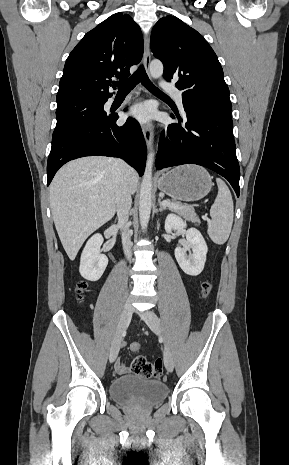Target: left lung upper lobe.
<instances>
[{
	"label": "left lung upper lobe",
	"mask_w": 289,
	"mask_h": 465,
	"mask_svg": "<svg viewBox=\"0 0 289 465\" xmlns=\"http://www.w3.org/2000/svg\"><path fill=\"white\" fill-rule=\"evenodd\" d=\"M150 46L164 64V78L177 80L176 87L184 97L209 108L231 111L221 64L196 30L175 16L163 17L153 27Z\"/></svg>",
	"instance_id": "1"
}]
</instances>
